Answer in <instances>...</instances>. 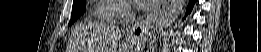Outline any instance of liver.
I'll return each mask as SVG.
<instances>
[{"instance_id": "6515ba94", "label": "liver", "mask_w": 261, "mask_h": 52, "mask_svg": "<svg viewBox=\"0 0 261 52\" xmlns=\"http://www.w3.org/2000/svg\"><path fill=\"white\" fill-rule=\"evenodd\" d=\"M85 34L88 35L89 52H103L108 43L115 42L122 36L119 29L103 22L89 23L85 27Z\"/></svg>"}]
</instances>
